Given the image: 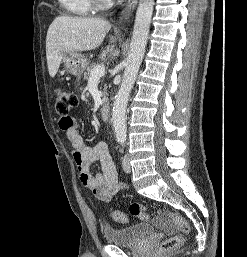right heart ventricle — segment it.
Listing matches in <instances>:
<instances>
[{"label":"right heart ventricle","instance_id":"right-heart-ventricle-1","mask_svg":"<svg viewBox=\"0 0 247 257\" xmlns=\"http://www.w3.org/2000/svg\"><path fill=\"white\" fill-rule=\"evenodd\" d=\"M61 8L72 16H86L93 10L91 0H58Z\"/></svg>","mask_w":247,"mask_h":257}]
</instances>
